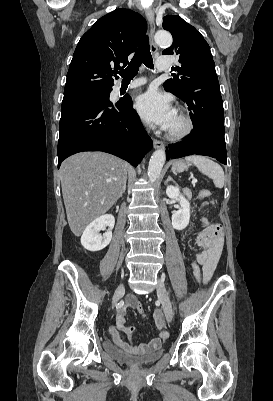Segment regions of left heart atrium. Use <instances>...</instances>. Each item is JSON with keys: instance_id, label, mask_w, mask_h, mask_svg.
Here are the masks:
<instances>
[{"instance_id": "1", "label": "left heart atrium", "mask_w": 273, "mask_h": 401, "mask_svg": "<svg viewBox=\"0 0 273 401\" xmlns=\"http://www.w3.org/2000/svg\"><path fill=\"white\" fill-rule=\"evenodd\" d=\"M136 108L147 124L159 126L165 130L169 129L177 115L170 100L157 92L140 95L136 102Z\"/></svg>"}]
</instances>
